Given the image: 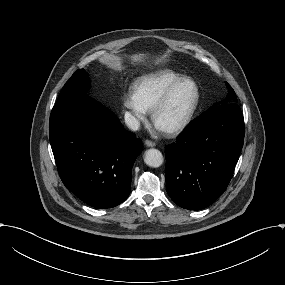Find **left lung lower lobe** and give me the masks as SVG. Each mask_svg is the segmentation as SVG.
<instances>
[{"label":"left lung lower lobe","mask_w":285,"mask_h":285,"mask_svg":"<svg viewBox=\"0 0 285 285\" xmlns=\"http://www.w3.org/2000/svg\"><path fill=\"white\" fill-rule=\"evenodd\" d=\"M245 126L236 103L209 109L166 147V186L180 207L201 210L227 188L243 147Z\"/></svg>","instance_id":"left-lung-lower-lobe-1"}]
</instances>
